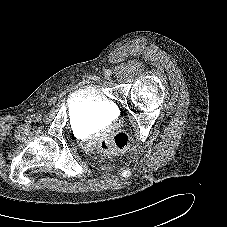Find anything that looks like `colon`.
<instances>
[{
  "mask_svg": "<svg viewBox=\"0 0 227 227\" xmlns=\"http://www.w3.org/2000/svg\"><path fill=\"white\" fill-rule=\"evenodd\" d=\"M129 144V136L125 133L107 136L100 140L99 148L105 153H117L124 150Z\"/></svg>",
  "mask_w": 227,
  "mask_h": 227,
  "instance_id": "colon-1",
  "label": "colon"
}]
</instances>
